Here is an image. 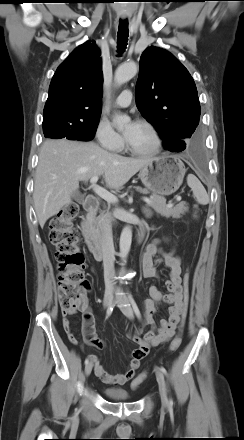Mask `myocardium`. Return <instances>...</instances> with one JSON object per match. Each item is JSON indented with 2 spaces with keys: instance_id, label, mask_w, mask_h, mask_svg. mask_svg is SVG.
Masks as SVG:
<instances>
[{
  "instance_id": "obj_1",
  "label": "myocardium",
  "mask_w": 244,
  "mask_h": 440,
  "mask_svg": "<svg viewBox=\"0 0 244 440\" xmlns=\"http://www.w3.org/2000/svg\"><path fill=\"white\" fill-rule=\"evenodd\" d=\"M138 124L143 126L144 128H146L150 134L153 137L154 140V145L150 150H146V151H142V150H138L136 148H134L129 142L128 140L125 141L126 144V149L134 154V155H138V156H151L154 154H157L163 145V140H162V136L159 132V130L156 128V126L154 124H152L151 122L147 121V120H139Z\"/></svg>"
}]
</instances>
